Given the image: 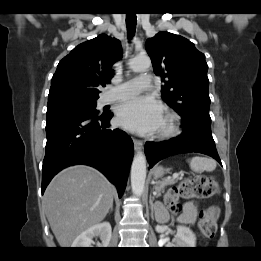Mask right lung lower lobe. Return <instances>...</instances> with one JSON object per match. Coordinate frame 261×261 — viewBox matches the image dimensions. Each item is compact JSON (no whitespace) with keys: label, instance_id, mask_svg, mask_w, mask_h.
Wrapping results in <instances>:
<instances>
[{"label":"right lung lower lobe","instance_id":"obj_1","mask_svg":"<svg viewBox=\"0 0 261 261\" xmlns=\"http://www.w3.org/2000/svg\"><path fill=\"white\" fill-rule=\"evenodd\" d=\"M112 113L90 115L66 112L47 117L46 153L42 166V194L62 169L86 164L100 170L123 195L133 158L131 138L110 129Z\"/></svg>","mask_w":261,"mask_h":261}]
</instances>
